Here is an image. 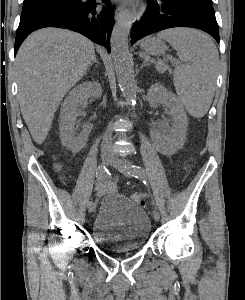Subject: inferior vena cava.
<instances>
[{"label": "inferior vena cava", "instance_id": "inferior-vena-cava-1", "mask_svg": "<svg viewBox=\"0 0 245 300\" xmlns=\"http://www.w3.org/2000/svg\"><path fill=\"white\" fill-rule=\"evenodd\" d=\"M112 144V129L109 127L105 132L103 143H102V151H107L110 149Z\"/></svg>", "mask_w": 245, "mask_h": 300}]
</instances>
